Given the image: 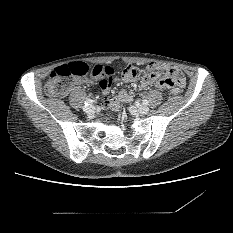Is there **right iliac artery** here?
<instances>
[{
  "label": "right iliac artery",
  "mask_w": 233,
  "mask_h": 233,
  "mask_svg": "<svg viewBox=\"0 0 233 233\" xmlns=\"http://www.w3.org/2000/svg\"><path fill=\"white\" fill-rule=\"evenodd\" d=\"M93 102H94L93 100L87 99V100L84 102V104H85V106H88V105H92Z\"/></svg>",
  "instance_id": "obj_1"
}]
</instances>
